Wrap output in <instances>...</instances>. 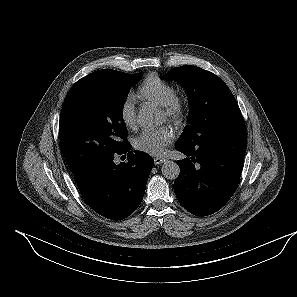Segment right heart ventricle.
<instances>
[{"label":"right heart ventricle","instance_id":"obj_1","mask_svg":"<svg viewBox=\"0 0 297 297\" xmlns=\"http://www.w3.org/2000/svg\"><path fill=\"white\" fill-rule=\"evenodd\" d=\"M137 95L143 101L163 106L176 95V92L170 83L156 75H150L139 85Z\"/></svg>","mask_w":297,"mask_h":297}]
</instances>
